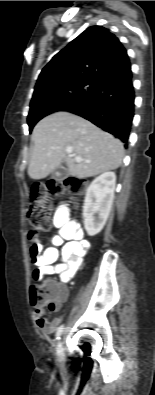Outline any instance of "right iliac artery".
I'll return each instance as SVG.
<instances>
[{"instance_id":"obj_1","label":"right iliac artery","mask_w":155,"mask_h":395,"mask_svg":"<svg viewBox=\"0 0 155 395\" xmlns=\"http://www.w3.org/2000/svg\"><path fill=\"white\" fill-rule=\"evenodd\" d=\"M63 329H64V325H61V326H59V327L57 328L56 340H59V339H60V337H61V335H62V332H63Z\"/></svg>"}]
</instances>
